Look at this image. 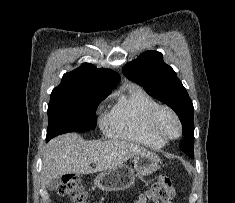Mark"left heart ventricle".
<instances>
[{
	"label": "left heart ventricle",
	"instance_id": "left-heart-ventricle-1",
	"mask_svg": "<svg viewBox=\"0 0 235 203\" xmlns=\"http://www.w3.org/2000/svg\"><path fill=\"white\" fill-rule=\"evenodd\" d=\"M157 128L164 134L174 135L177 132V124L172 116L166 112L162 113L157 121Z\"/></svg>",
	"mask_w": 235,
	"mask_h": 203
}]
</instances>
